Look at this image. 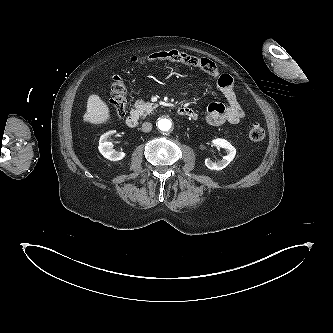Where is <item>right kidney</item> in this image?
I'll return each mask as SVG.
<instances>
[{
    "label": "right kidney",
    "mask_w": 333,
    "mask_h": 333,
    "mask_svg": "<svg viewBox=\"0 0 333 333\" xmlns=\"http://www.w3.org/2000/svg\"><path fill=\"white\" fill-rule=\"evenodd\" d=\"M115 131H109L103 134L100 137L99 141V152L108 160L110 161H119L122 160L125 157L124 152H119L113 149V144L111 142H108V138L114 134Z\"/></svg>",
    "instance_id": "ca27d5eb"
}]
</instances>
